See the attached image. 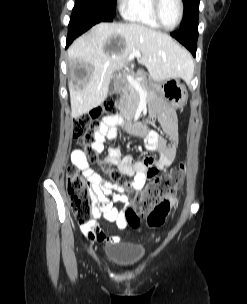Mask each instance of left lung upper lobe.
Listing matches in <instances>:
<instances>
[{"mask_svg":"<svg viewBox=\"0 0 247 304\" xmlns=\"http://www.w3.org/2000/svg\"><path fill=\"white\" fill-rule=\"evenodd\" d=\"M200 0H183L184 17L180 24L181 27L193 22H198Z\"/></svg>","mask_w":247,"mask_h":304,"instance_id":"left-lung-upper-lobe-1","label":"left lung upper lobe"}]
</instances>
